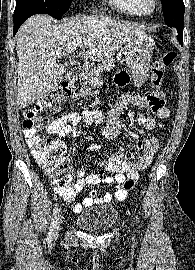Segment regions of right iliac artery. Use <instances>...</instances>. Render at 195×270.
<instances>
[{"label":"right iliac artery","mask_w":195,"mask_h":270,"mask_svg":"<svg viewBox=\"0 0 195 270\" xmlns=\"http://www.w3.org/2000/svg\"><path fill=\"white\" fill-rule=\"evenodd\" d=\"M57 213H58V207H55L53 210L51 226L49 228L48 240H51L53 237V231H54L55 219H56Z\"/></svg>","instance_id":"obj_1"}]
</instances>
